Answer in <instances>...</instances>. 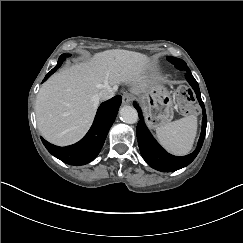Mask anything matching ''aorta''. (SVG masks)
Returning a JSON list of instances; mask_svg holds the SVG:
<instances>
[{
	"label": "aorta",
	"mask_w": 243,
	"mask_h": 243,
	"mask_svg": "<svg viewBox=\"0 0 243 243\" xmlns=\"http://www.w3.org/2000/svg\"><path fill=\"white\" fill-rule=\"evenodd\" d=\"M120 115H121L122 121L129 125L136 124L139 120L137 110L131 106H126V107L122 108L120 111Z\"/></svg>",
	"instance_id": "obj_1"
}]
</instances>
